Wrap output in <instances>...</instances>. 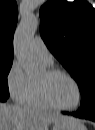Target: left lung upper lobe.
I'll list each match as a JSON object with an SVG mask.
<instances>
[{
	"instance_id": "left-lung-upper-lobe-1",
	"label": "left lung upper lobe",
	"mask_w": 95,
	"mask_h": 130,
	"mask_svg": "<svg viewBox=\"0 0 95 130\" xmlns=\"http://www.w3.org/2000/svg\"><path fill=\"white\" fill-rule=\"evenodd\" d=\"M40 18L45 44L77 82L84 105L95 98V9L85 0H51Z\"/></svg>"
}]
</instances>
